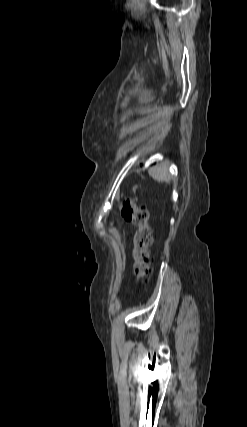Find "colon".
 I'll list each match as a JSON object with an SVG mask.
<instances>
[{
	"instance_id": "obj_1",
	"label": "colon",
	"mask_w": 247,
	"mask_h": 427,
	"mask_svg": "<svg viewBox=\"0 0 247 427\" xmlns=\"http://www.w3.org/2000/svg\"><path fill=\"white\" fill-rule=\"evenodd\" d=\"M122 218L136 226L133 237V270L138 280L143 279L149 272L150 246L152 244V229L149 225V212L146 208L127 199L121 206Z\"/></svg>"
}]
</instances>
